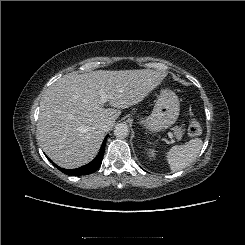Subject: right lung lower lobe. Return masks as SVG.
Masks as SVG:
<instances>
[{"label":"right lung lower lobe","instance_id":"obj_1","mask_svg":"<svg viewBox=\"0 0 245 245\" xmlns=\"http://www.w3.org/2000/svg\"><path fill=\"white\" fill-rule=\"evenodd\" d=\"M106 140H107V137L103 141L100 152L98 153L96 158L93 161H91L90 163H88L82 167L76 168V169H64V168H60L58 166H57V168L61 172L68 174V175H87V174H91V173L95 172L101 166L103 155H104V150H105Z\"/></svg>","mask_w":245,"mask_h":245}]
</instances>
